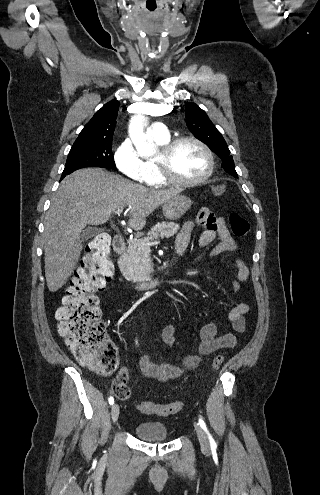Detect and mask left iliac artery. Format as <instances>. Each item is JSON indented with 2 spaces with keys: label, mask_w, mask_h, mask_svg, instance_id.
Returning a JSON list of instances; mask_svg holds the SVG:
<instances>
[{
  "label": "left iliac artery",
  "mask_w": 320,
  "mask_h": 495,
  "mask_svg": "<svg viewBox=\"0 0 320 495\" xmlns=\"http://www.w3.org/2000/svg\"><path fill=\"white\" fill-rule=\"evenodd\" d=\"M199 425L201 426V428L206 432V434L208 435V438H209V441H210V445H211V448H215L217 445H216V442L214 441V439L212 438L211 434L209 433L208 429H207V426L205 424V422L202 420V418H199Z\"/></svg>",
  "instance_id": "left-iliac-artery-1"
}]
</instances>
